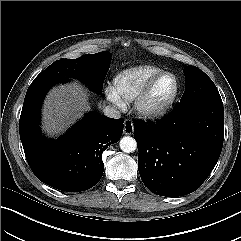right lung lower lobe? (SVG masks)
I'll use <instances>...</instances> for the list:
<instances>
[{"label":"right lung lower lobe","instance_id":"1","mask_svg":"<svg viewBox=\"0 0 241 241\" xmlns=\"http://www.w3.org/2000/svg\"><path fill=\"white\" fill-rule=\"evenodd\" d=\"M69 79L31 84L20 116V139L35 176L61 191L90 189L103 175L102 153L123 133V119L107 118L95 111L87 113L56 141L42 136L39 120L44 95L53 85Z\"/></svg>","mask_w":241,"mask_h":241}]
</instances>
